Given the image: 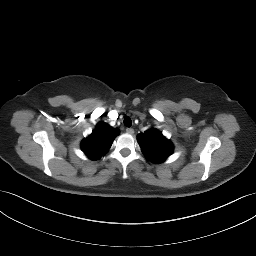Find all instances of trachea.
<instances>
[{
    "mask_svg": "<svg viewBox=\"0 0 256 256\" xmlns=\"http://www.w3.org/2000/svg\"><path fill=\"white\" fill-rule=\"evenodd\" d=\"M124 125H125L126 127H131V125H132V120H131V118L126 117V118L124 119Z\"/></svg>",
    "mask_w": 256,
    "mask_h": 256,
    "instance_id": "obj_1",
    "label": "trachea"
}]
</instances>
